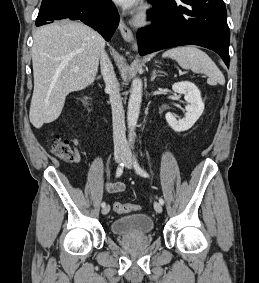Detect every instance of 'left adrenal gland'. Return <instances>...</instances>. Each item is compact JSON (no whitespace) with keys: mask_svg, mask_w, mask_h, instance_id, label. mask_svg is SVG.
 Returning <instances> with one entry per match:
<instances>
[{"mask_svg":"<svg viewBox=\"0 0 259 283\" xmlns=\"http://www.w3.org/2000/svg\"><path fill=\"white\" fill-rule=\"evenodd\" d=\"M157 76H158L157 71L153 70L152 74H151V79L150 80L153 81Z\"/></svg>","mask_w":259,"mask_h":283,"instance_id":"obj_1","label":"left adrenal gland"}]
</instances>
